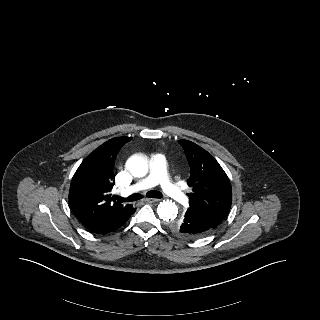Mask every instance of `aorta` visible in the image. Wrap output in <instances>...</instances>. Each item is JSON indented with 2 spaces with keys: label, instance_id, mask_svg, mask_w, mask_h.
Returning a JSON list of instances; mask_svg holds the SVG:
<instances>
[{
  "label": "aorta",
  "instance_id": "aorta-1",
  "mask_svg": "<svg viewBox=\"0 0 320 320\" xmlns=\"http://www.w3.org/2000/svg\"><path fill=\"white\" fill-rule=\"evenodd\" d=\"M126 166L134 177H144L148 173L149 165L147 159L140 155H132L126 162ZM158 216L165 222H174L178 214V208L172 201L160 202L157 207Z\"/></svg>",
  "mask_w": 320,
  "mask_h": 320
}]
</instances>
